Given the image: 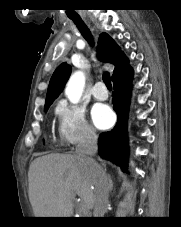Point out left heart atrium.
<instances>
[{"mask_svg": "<svg viewBox=\"0 0 181 227\" xmlns=\"http://www.w3.org/2000/svg\"><path fill=\"white\" fill-rule=\"evenodd\" d=\"M92 121L96 127L105 129L110 127L114 121L112 110L104 104H97L91 111Z\"/></svg>", "mask_w": 181, "mask_h": 227, "instance_id": "obj_1", "label": "left heart atrium"}]
</instances>
